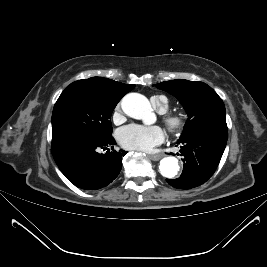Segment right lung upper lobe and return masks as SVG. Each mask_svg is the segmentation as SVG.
Masks as SVG:
<instances>
[{
  "label": "right lung upper lobe",
  "mask_w": 267,
  "mask_h": 267,
  "mask_svg": "<svg viewBox=\"0 0 267 267\" xmlns=\"http://www.w3.org/2000/svg\"><path fill=\"white\" fill-rule=\"evenodd\" d=\"M90 79L97 81L107 87L113 88L124 95L135 87V85H125V84H122V83H119V82H116V81H113L107 78H102V77H92Z\"/></svg>",
  "instance_id": "obj_1"
}]
</instances>
